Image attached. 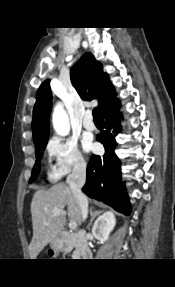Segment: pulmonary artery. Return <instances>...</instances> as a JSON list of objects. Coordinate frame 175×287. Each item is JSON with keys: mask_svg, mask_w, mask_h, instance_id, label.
<instances>
[{"mask_svg": "<svg viewBox=\"0 0 175 287\" xmlns=\"http://www.w3.org/2000/svg\"><path fill=\"white\" fill-rule=\"evenodd\" d=\"M83 125L87 130H94L95 129V123L92 118V114L90 112H87L85 114Z\"/></svg>", "mask_w": 175, "mask_h": 287, "instance_id": "1", "label": "pulmonary artery"}]
</instances>
